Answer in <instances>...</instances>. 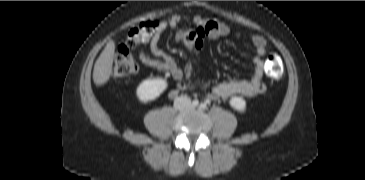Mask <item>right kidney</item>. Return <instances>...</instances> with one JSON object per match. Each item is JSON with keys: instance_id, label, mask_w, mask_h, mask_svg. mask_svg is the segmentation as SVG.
I'll use <instances>...</instances> for the list:
<instances>
[{"instance_id": "1", "label": "right kidney", "mask_w": 365, "mask_h": 180, "mask_svg": "<svg viewBox=\"0 0 365 180\" xmlns=\"http://www.w3.org/2000/svg\"><path fill=\"white\" fill-rule=\"evenodd\" d=\"M168 87L166 80L162 78H149L142 81L136 89V96L142 103L158 98Z\"/></svg>"}]
</instances>
